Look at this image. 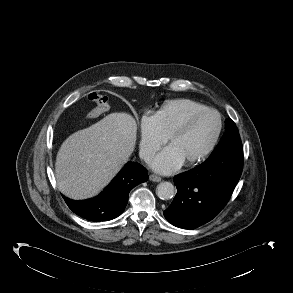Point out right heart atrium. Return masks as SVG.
<instances>
[{
  "instance_id": "obj_1",
  "label": "right heart atrium",
  "mask_w": 293,
  "mask_h": 293,
  "mask_svg": "<svg viewBox=\"0 0 293 293\" xmlns=\"http://www.w3.org/2000/svg\"><path fill=\"white\" fill-rule=\"evenodd\" d=\"M139 152L143 160L149 161L166 138L160 133L153 115L143 114L139 121Z\"/></svg>"
}]
</instances>
